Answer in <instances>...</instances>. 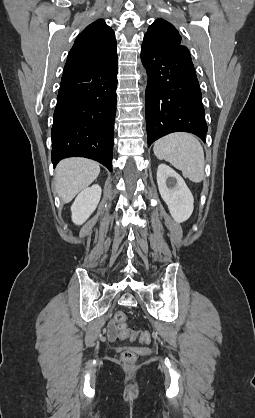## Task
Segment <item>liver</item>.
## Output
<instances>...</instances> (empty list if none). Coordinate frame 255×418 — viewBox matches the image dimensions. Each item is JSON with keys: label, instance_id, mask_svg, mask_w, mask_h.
Instances as JSON below:
<instances>
[{"label": "liver", "instance_id": "1", "mask_svg": "<svg viewBox=\"0 0 255 418\" xmlns=\"http://www.w3.org/2000/svg\"><path fill=\"white\" fill-rule=\"evenodd\" d=\"M99 163L85 158H68L55 170L56 191L64 203H69L99 175Z\"/></svg>", "mask_w": 255, "mask_h": 418}]
</instances>
